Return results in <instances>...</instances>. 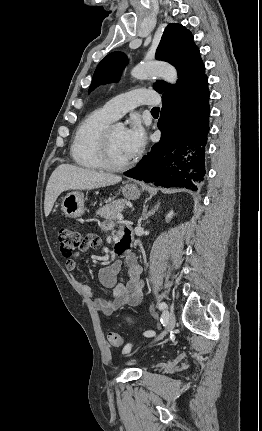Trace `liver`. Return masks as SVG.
Here are the masks:
<instances>
[{
	"instance_id": "liver-1",
	"label": "liver",
	"mask_w": 262,
	"mask_h": 431,
	"mask_svg": "<svg viewBox=\"0 0 262 431\" xmlns=\"http://www.w3.org/2000/svg\"><path fill=\"white\" fill-rule=\"evenodd\" d=\"M120 176L80 168L71 164L59 165L51 174L45 191L44 213L47 217L58 196L67 190H91L114 185Z\"/></svg>"
}]
</instances>
